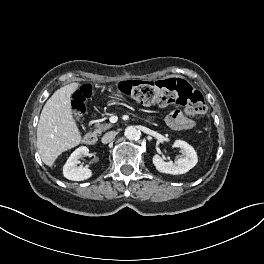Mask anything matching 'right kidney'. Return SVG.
<instances>
[{"mask_svg": "<svg viewBox=\"0 0 264 264\" xmlns=\"http://www.w3.org/2000/svg\"><path fill=\"white\" fill-rule=\"evenodd\" d=\"M89 149L86 146L77 148L68 158L64 167L63 175L65 178L72 181H83L92 176V171L89 168L78 166L79 159L83 155H88Z\"/></svg>", "mask_w": 264, "mask_h": 264, "instance_id": "right-kidney-1", "label": "right kidney"}]
</instances>
